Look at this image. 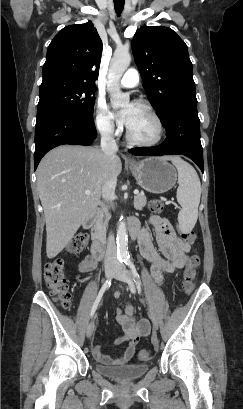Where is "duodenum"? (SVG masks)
<instances>
[{
    "label": "duodenum",
    "instance_id": "410a0bca",
    "mask_svg": "<svg viewBox=\"0 0 243 409\" xmlns=\"http://www.w3.org/2000/svg\"><path fill=\"white\" fill-rule=\"evenodd\" d=\"M98 218L99 211L97 209H94L87 220V224L95 223L98 220ZM131 234L134 240L138 239V233L136 231L131 230ZM91 253L95 259H102L105 254V245L101 242L97 231L93 232Z\"/></svg>",
    "mask_w": 243,
    "mask_h": 409
}]
</instances>
